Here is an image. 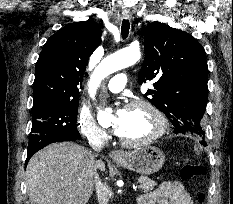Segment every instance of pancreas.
<instances>
[{
	"mask_svg": "<svg viewBox=\"0 0 233 204\" xmlns=\"http://www.w3.org/2000/svg\"><path fill=\"white\" fill-rule=\"evenodd\" d=\"M139 182L141 183L140 189L145 193L152 191L154 187L157 185L155 181L146 176L139 177Z\"/></svg>",
	"mask_w": 233,
	"mask_h": 204,
	"instance_id": "1",
	"label": "pancreas"
}]
</instances>
